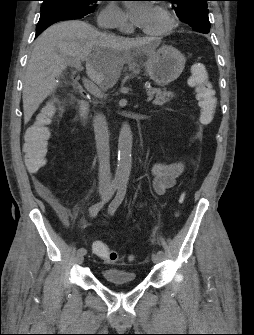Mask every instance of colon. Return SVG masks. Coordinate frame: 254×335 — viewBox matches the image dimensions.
<instances>
[{
	"mask_svg": "<svg viewBox=\"0 0 254 335\" xmlns=\"http://www.w3.org/2000/svg\"><path fill=\"white\" fill-rule=\"evenodd\" d=\"M190 85L196 91L202 123H211L217 109V99L208 72L203 64L196 63L192 66ZM54 111L52 104L46 105L37 121L27 131L26 141L24 142V172H45L48 151L46 139L49 135ZM93 249L98 256L109 263L118 259L117 253L110 250L105 244H94Z\"/></svg>",
	"mask_w": 254,
	"mask_h": 335,
	"instance_id": "5ec220e1",
	"label": "colon"
}]
</instances>
